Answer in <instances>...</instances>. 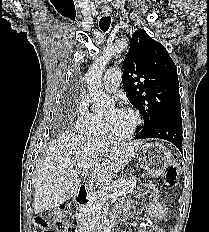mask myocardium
<instances>
[{
	"instance_id": "f54148a6",
	"label": "myocardium",
	"mask_w": 209,
	"mask_h": 232,
	"mask_svg": "<svg viewBox=\"0 0 209 232\" xmlns=\"http://www.w3.org/2000/svg\"><path fill=\"white\" fill-rule=\"evenodd\" d=\"M118 109L125 110V111L129 112L132 115V117L134 119V122H133V125H132L131 129L125 134H114L109 129L107 119L102 117V130H103V133H104L106 138H110V139H116V140L129 139L130 137L133 136V134L136 132V130L140 126V124L142 122L141 116H140L139 112L137 110H135L134 108H132V107L126 106V107H120Z\"/></svg>"
}]
</instances>
